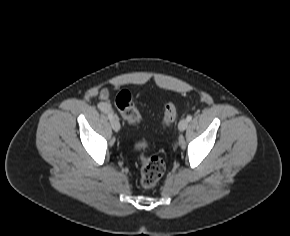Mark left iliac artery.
<instances>
[{"instance_id":"obj_1","label":"left iliac artery","mask_w":290,"mask_h":236,"mask_svg":"<svg viewBox=\"0 0 290 236\" xmlns=\"http://www.w3.org/2000/svg\"><path fill=\"white\" fill-rule=\"evenodd\" d=\"M186 120H187L188 122L191 121V120H192V116H191V115H188L187 118H186Z\"/></svg>"}]
</instances>
